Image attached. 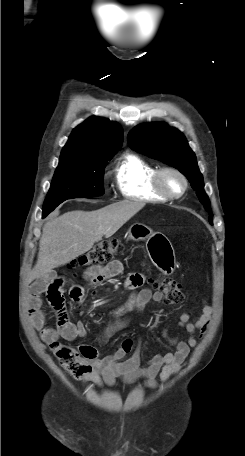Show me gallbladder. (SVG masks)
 <instances>
[{"label":"gallbladder","mask_w":245,"mask_h":456,"mask_svg":"<svg viewBox=\"0 0 245 456\" xmlns=\"http://www.w3.org/2000/svg\"><path fill=\"white\" fill-rule=\"evenodd\" d=\"M56 277V272L51 271L47 279L40 278L39 282L43 287H46L49 284V282L53 281Z\"/></svg>","instance_id":"gallbladder-1"}]
</instances>
